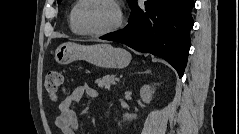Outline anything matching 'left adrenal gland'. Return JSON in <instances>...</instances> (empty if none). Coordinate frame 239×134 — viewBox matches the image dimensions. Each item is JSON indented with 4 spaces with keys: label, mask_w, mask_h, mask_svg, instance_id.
<instances>
[{
    "label": "left adrenal gland",
    "mask_w": 239,
    "mask_h": 134,
    "mask_svg": "<svg viewBox=\"0 0 239 134\" xmlns=\"http://www.w3.org/2000/svg\"><path fill=\"white\" fill-rule=\"evenodd\" d=\"M143 73H150V70H146L145 72H143Z\"/></svg>",
    "instance_id": "obj_1"
}]
</instances>
